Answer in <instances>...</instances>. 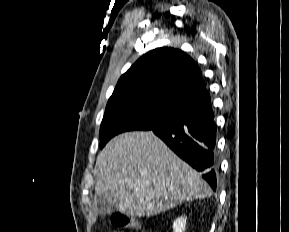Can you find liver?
I'll return each instance as SVG.
<instances>
[{
	"instance_id": "obj_1",
	"label": "liver",
	"mask_w": 289,
	"mask_h": 232,
	"mask_svg": "<svg viewBox=\"0 0 289 232\" xmlns=\"http://www.w3.org/2000/svg\"><path fill=\"white\" fill-rule=\"evenodd\" d=\"M94 175L95 198L112 194L127 216L150 217L212 193L200 173L151 131L110 140L97 156Z\"/></svg>"
}]
</instances>
